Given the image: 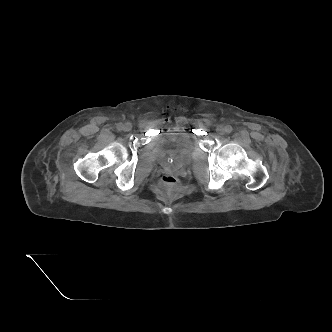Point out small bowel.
Masks as SVG:
<instances>
[{
  "label": "small bowel",
  "instance_id": "small-bowel-1",
  "mask_svg": "<svg viewBox=\"0 0 332 332\" xmlns=\"http://www.w3.org/2000/svg\"><path fill=\"white\" fill-rule=\"evenodd\" d=\"M180 130L179 126H172V127H166L165 131L167 133H174V132H178Z\"/></svg>",
  "mask_w": 332,
  "mask_h": 332
}]
</instances>
